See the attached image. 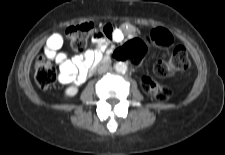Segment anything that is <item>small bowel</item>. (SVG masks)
<instances>
[{
  "instance_id": "c3829d8e",
  "label": "small bowel",
  "mask_w": 225,
  "mask_h": 155,
  "mask_svg": "<svg viewBox=\"0 0 225 155\" xmlns=\"http://www.w3.org/2000/svg\"><path fill=\"white\" fill-rule=\"evenodd\" d=\"M131 32L130 27L116 29L113 25L107 24L104 28L95 33L93 44L95 50H89L81 56L72 59L61 51L63 39L60 34H52L46 41L44 53L48 59L53 60L59 65V81L63 84L74 83L80 85L83 83L91 71L93 65L101 58L102 48L108 41L120 40L126 33Z\"/></svg>"
}]
</instances>
